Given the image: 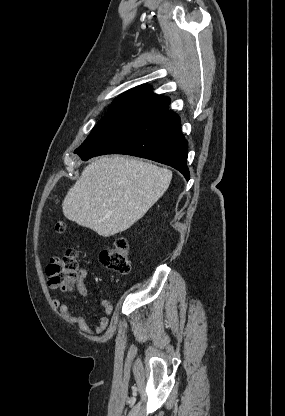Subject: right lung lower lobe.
Here are the masks:
<instances>
[{
    "instance_id": "obj_1",
    "label": "right lung lower lobe",
    "mask_w": 285,
    "mask_h": 416,
    "mask_svg": "<svg viewBox=\"0 0 285 416\" xmlns=\"http://www.w3.org/2000/svg\"><path fill=\"white\" fill-rule=\"evenodd\" d=\"M188 142L179 116L162 109L78 153L83 160L104 154H127L163 163L179 170L186 180Z\"/></svg>"
}]
</instances>
